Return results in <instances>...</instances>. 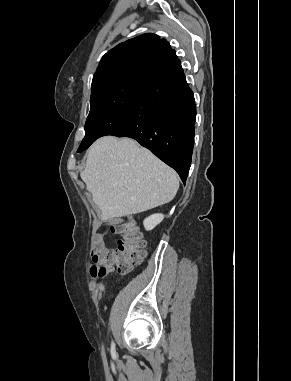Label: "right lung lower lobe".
Listing matches in <instances>:
<instances>
[{"label":"right lung lower lobe","instance_id":"obj_1","mask_svg":"<svg viewBox=\"0 0 291 381\" xmlns=\"http://www.w3.org/2000/svg\"><path fill=\"white\" fill-rule=\"evenodd\" d=\"M195 100L180 60L143 78L124 125L114 136L130 137L177 171L183 183L194 146Z\"/></svg>","mask_w":291,"mask_h":381}]
</instances>
